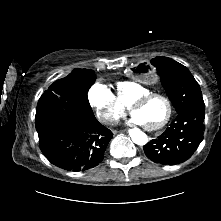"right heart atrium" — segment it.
<instances>
[{"label": "right heart atrium", "instance_id": "obj_1", "mask_svg": "<svg viewBox=\"0 0 221 221\" xmlns=\"http://www.w3.org/2000/svg\"><path fill=\"white\" fill-rule=\"evenodd\" d=\"M88 101L97 117L104 124L111 125L124 116L126 108L105 84L96 82L88 92Z\"/></svg>", "mask_w": 221, "mask_h": 221}]
</instances>
